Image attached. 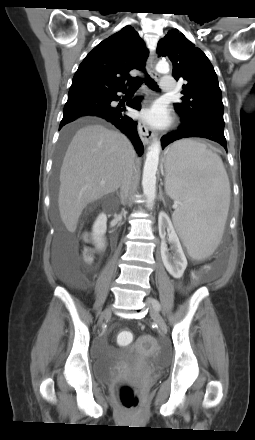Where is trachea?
Segmentation results:
<instances>
[{
    "mask_svg": "<svg viewBox=\"0 0 255 440\" xmlns=\"http://www.w3.org/2000/svg\"><path fill=\"white\" fill-rule=\"evenodd\" d=\"M146 85L153 90H157V91L159 90L157 83L148 75H146ZM139 87H140V83L134 82V83L130 84L128 90L129 91L137 90Z\"/></svg>",
    "mask_w": 255,
    "mask_h": 440,
    "instance_id": "obj_1",
    "label": "trachea"
}]
</instances>
